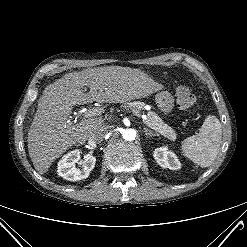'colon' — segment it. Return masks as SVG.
I'll use <instances>...</instances> for the list:
<instances>
[{
	"mask_svg": "<svg viewBox=\"0 0 247 247\" xmlns=\"http://www.w3.org/2000/svg\"><path fill=\"white\" fill-rule=\"evenodd\" d=\"M176 103L181 110L190 113L194 110L197 99L189 87L180 86L177 89Z\"/></svg>",
	"mask_w": 247,
	"mask_h": 247,
	"instance_id": "5ec220e1",
	"label": "colon"
}]
</instances>
